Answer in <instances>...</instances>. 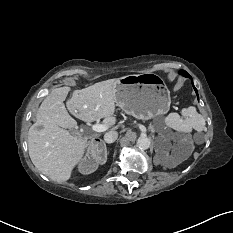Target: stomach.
I'll use <instances>...</instances> for the list:
<instances>
[{
  "label": "stomach",
  "instance_id": "1",
  "mask_svg": "<svg viewBox=\"0 0 233 233\" xmlns=\"http://www.w3.org/2000/svg\"><path fill=\"white\" fill-rule=\"evenodd\" d=\"M116 105L136 119L148 120L168 112L170 91L154 73L132 74L118 78Z\"/></svg>",
  "mask_w": 233,
  "mask_h": 233
}]
</instances>
